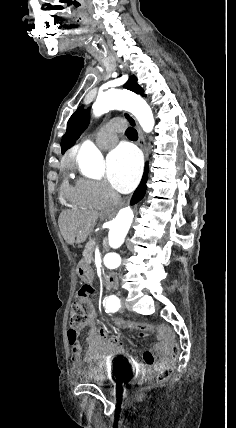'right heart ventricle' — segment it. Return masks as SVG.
I'll list each match as a JSON object with an SVG mask.
<instances>
[{
    "mask_svg": "<svg viewBox=\"0 0 236 428\" xmlns=\"http://www.w3.org/2000/svg\"><path fill=\"white\" fill-rule=\"evenodd\" d=\"M78 160H69L65 163L66 170L72 172ZM71 176V174H70ZM83 180L72 182L70 178H66L61 186V194L68 200L88 209H98L101 207L99 203L88 197L82 189Z\"/></svg>",
    "mask_w": 236,
    "mask_h": 428,
    "instance_id": "1",
    "label": "right heart ventricle"
}]
</instances>
